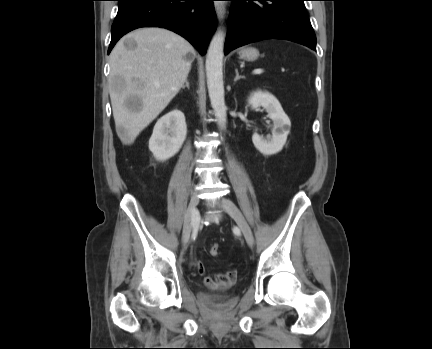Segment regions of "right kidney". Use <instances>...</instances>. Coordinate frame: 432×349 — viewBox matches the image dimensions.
Returning a JSON list of instances; mask_svg holds the SVG:
<instances>
[{
	"label": "right kidney",
	"instance_id": "right-kidney-1",
	"mask_svg": "<svg viewBox=\"0 0 432 349\" xmlns=\"http://www.w3.org/2000/svg\"><path fill=\"white\" fill-rule=\"evenodd\" d=\"M187 125L180 110L162 116L154 126L149 149L158 161H166L178 153L185 141Z\"/></svg>",
	"mask_w": 432,
	"mask_h": 349
}]
</instances>
